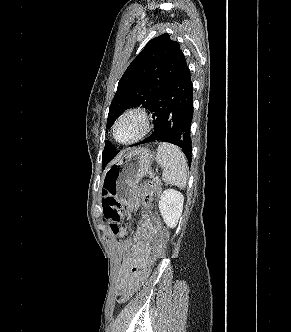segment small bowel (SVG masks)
I'll return each mask as SVG.
<instances>
[{
    "label": "small bowel",
    "instance_id": "1",
    "mask_svg": "<svg viewBox=\"0 0 291 332\" xmlns=\"http://www.w3.org/2000/svg\"><path fill=\"white\" fill-rule=\"evenodd\" d=\"M161 229L158 219L145 216L135 233L123 242L122 247L127 252V257L122 267L121 292L131 284L138 270L147 263L152 251V243L157 241Z\"/></svg>",
    "mask_w": 291,
    "mask_h": 332
}]
</instances>
